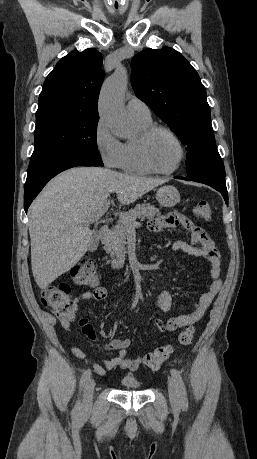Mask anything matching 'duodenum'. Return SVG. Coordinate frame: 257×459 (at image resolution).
<instances>
[{
  "mask_svg": "<svg viewBox=\"0 0 257 459\" xmlns=\"http://www.w3.org/2000/svg\"><path fill=\"white\" fill-rule=\"evenodd\" d=\"M109 232L110 226L104 225L99 231V236L106 237L109 234ZM111 262L115 268H121L124 265V257L122 255H116L112 258Z\"/></svg>",
  "mask_w": 257,
  "mask_h": 459,
  "instance_id": "duodenum-1",
  "label": "duodenum"
}]
</instances>
